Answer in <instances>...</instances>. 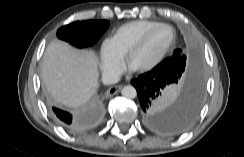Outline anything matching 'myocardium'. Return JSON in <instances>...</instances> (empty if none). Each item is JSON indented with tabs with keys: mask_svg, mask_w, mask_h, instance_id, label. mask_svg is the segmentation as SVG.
<instances>
[{
	"mask_svg": "<svg viewBox=\"0 0 244 157\" xmlns=\"http://www.w3.org/2000/svg\"><path fill=\"white\" fill-rule=\"evenodd\" d=\"M161 27H167L170 28L173 31V38L171 43L162 51V53L155 59L153 60L151 63L139 67L137 69H135L137 72H148L152 69H154L157 65H159L161 63V61L168 55V53L171 51V49L174 47L175 43H176V39H177V33H176V29L174 28L173 25L168 24V23H158L156 25H154L153 27L149 28L131 47L130 49L127 51L126 55H125V59H126V63L131 66V61L133 56L135 55V53L140 50V48L144 45V43L146 42L147 38L149 37V35L155 31L158 28Z\"/></svg>",
	"mask_w": 244,
	"mask_h": 157,
	"instance_id": "myocardium-1",
	"label": "myocardium"
}]
</instances>
